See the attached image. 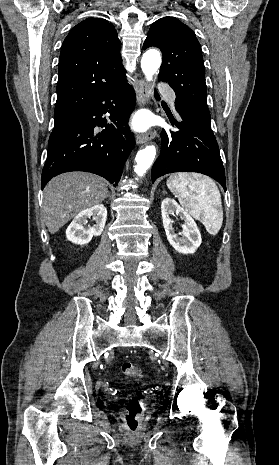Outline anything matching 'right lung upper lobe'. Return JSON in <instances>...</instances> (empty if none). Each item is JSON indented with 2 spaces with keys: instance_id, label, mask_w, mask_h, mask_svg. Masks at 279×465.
I'll use <instances>...</instances> for the list:
<instances>
[{
  "instance_id": "cb5924a9",
  "label": "right lung upper lobe",
  "mask_w": 279,
  "mask_h": 465,
  "mask_svg": "<svg viewBox=\"0 0 279 465\" xmlns=\"http://www.w3.org/2000/svg\"><path fill=\"white\" fill-rule=\"evenodd\" d=\"M121 42L112 23L90 18L65 38L60 53L55 125L126 80Z\"/></svg>"
}]
</instances>
